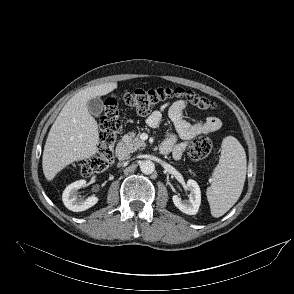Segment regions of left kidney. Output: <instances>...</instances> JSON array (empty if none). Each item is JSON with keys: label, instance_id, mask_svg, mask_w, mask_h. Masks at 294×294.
<instances>
[{"label": "left kidney", "instance_id": "1", "mask_svg": "<svg viewBox=\"0 0 294 294\" xmlns=\"http://www.w3.org/2000/svg\"><path fill=\"white\" fill-rule=\"evenodd\" d=\"M187 187L190 190L189 199L181 200L180 197L174 195L172 197L174 205L183 213L188 215H195L201 204V191L196 181L189 179Z\"/></svg>", "mask_w": 294, "mask_h": 294}]
</instances>
